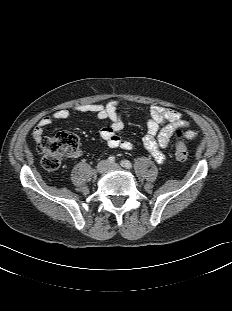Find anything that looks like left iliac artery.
Here are the masks:
<instances>
[{
    "label": "left iliac artery",
    "instance_id": "obj_1",
    "mask_svg": "<svg viewBox=\"0 0 232 311\" xmlns=\"http://www.w3.org/2000/svg\"><path fill=\"white\" fill-rule=\"evenodd\" d=\"M120 164L122 167L127 169H130L132 167V164L128 160H122Z\"/></svg>",
    "mask_w": 232,
    "mask_h": 311
}]
</instances>
